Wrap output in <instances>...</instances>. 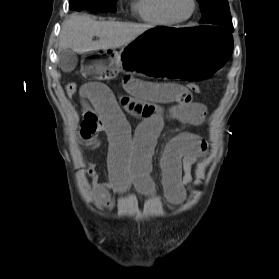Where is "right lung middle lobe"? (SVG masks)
I'll return each mask as SVG.
<instances>
[{
    "label": "right lung middle lobe",
    "mask_w": 279,
    "mask_h": 279,
    "mask_svg": "<svg viewBox=\"0 0 279 279\" xmlns=\"http://www.w3.org/2000/svg\"><path fill=\"white\" fill-rule=\"evenodd\" d=\"M117 0H70V8L72 10L80 11L87 9L98 12H116Z\"/></svg>",
    "instance_id": "right-lung-middle-lobe-1"
}]
</instances>
